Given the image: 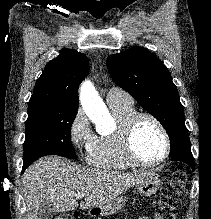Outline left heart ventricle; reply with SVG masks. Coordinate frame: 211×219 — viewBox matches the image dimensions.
<instances>
[{"mask_svg":"<svg viewBox=\"0 0 211 219\" xmlns=\"http://www.w3.org/2000/svg\"><path fill=\"white\" fill-rule=\"evenodd\" d=\"M134 145L139 158L145 162H155L164 153V139L159 128L149 119L137 124Z\"/></svg>","mask_w":211,"mask_h":219,"instance_id":"1","label":"left heart ventricle"}]
</instances>
